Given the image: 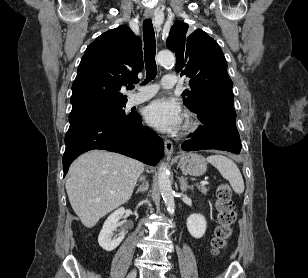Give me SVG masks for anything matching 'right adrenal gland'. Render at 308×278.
<instances>
[{
  "mask_svg": "<svg viewBox=\"0 0 308 278\" xmlns=\"http://www.w3.org/2000/svg\"><path fill=\"white\" fill-rule=\"evenodd\" d=\"M148 189V183L145 181L142 185H140V187L137 189L136 194L141 192V193H145Z\"/></svg>",
  "mask_w": 308,
  "mask_h": 278,
  "instance_id": "2a0ac1e0",
  "label": "right adrenal gland"
}]
</instances>
